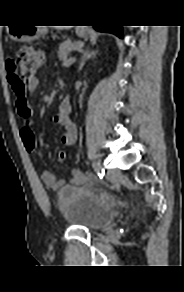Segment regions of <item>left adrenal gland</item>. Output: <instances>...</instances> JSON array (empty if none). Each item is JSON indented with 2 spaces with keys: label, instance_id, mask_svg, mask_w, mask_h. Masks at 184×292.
I'll return each mask as SVG.
<instances>
[{
  "label": "left adrenal gland",
  "instance_id": "left-adrenal-gland-1",
  "mask_svg": "<svg viewBox=\"0 0 184 292\" xmlns=\"http://www.w3.org/2000/svg\"><path fill=\"white\" fill-rule=\"evenodd\" d=\"M97 54V51H89L87 50L86 52L83 53V56H82V59H81V62H80V65H79V71L82 70L84 64H85V61L88 60V59H91V58H95Z\"/></svg>",
  "mask_w": 184,
  "mask_h": 292
}]
</instances>
